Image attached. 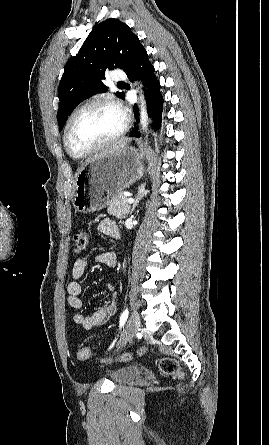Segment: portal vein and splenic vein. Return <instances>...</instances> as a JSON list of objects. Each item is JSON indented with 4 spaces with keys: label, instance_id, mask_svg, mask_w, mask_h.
<instances>
[{
    "label": "portal vein and splenic vein",
    "instance_id": "1",
    "mask_svg": "<svg viewBox=\"0 0 269 445\" xmlns=\"http://www.w3.org/2000/svg\"><path fill=\"white\" fill-rule=\"evenodd\" d=\"M127 203H128V204H132V203H134V199H133V198H128V199H127Z\"/></svg>",
    "mask_w": 269,
    "mask_h": 445
}]
</instances>
